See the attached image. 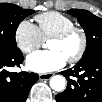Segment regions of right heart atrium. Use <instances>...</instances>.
I'll list each match as a JSON object with an SVG mask.
<instances>
[{
  "label": "right heart atrium",
  "instance_id": "d8ad5b80",
  "mask_svg": "<svg viewBox=\"0 0 102 102\" xmlns=\"http://www.w3.org/2000/svg\"><path fill=\"white\" fill-rule=\"evenodd\" d=\"M14 40L23 53L37 49L43 42L38 27L29 19H22L15 28Z\"/></svg>",
  "mask_w": 102,
  "mask_h": 102
}]
</instances>
